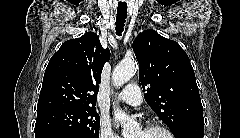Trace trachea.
Wrapping results in <instances>:
<instances>
[{"instance_id":"1","label":"trachea","mask_w":240,"mask_h":138,"mask_svg":"<svg viewBox=\"0 0 240 138\" xmlns=\"http://www.w3.org/2000/svg\"><path fill=\"white\" fill-rule=\"evenodd\" d=\"M126 17H127V5L126 4L119 5L117 8V16L115 22L116 25L115 30L118 36L122 35L124 25L126 22Z\"/></svg>"}]
</instances>
